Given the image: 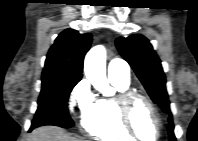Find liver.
I'll return each instance as SVG.
<instances>
[{"label": "liver", "instance_id": "6515ba94", "mask_svg": "<svg viewBox=\"0 0 198 141\" xmlns=\"http://www.w3.org/2000/svg\"><path fill=\"white\" fill-rule=\"evenodd\" d=\"M30 141H82L71 137L59 127L45 126L35 129L31 133Z\"/></svg>", "mask_w": 198, "mask_h": 141}]
</instances>
